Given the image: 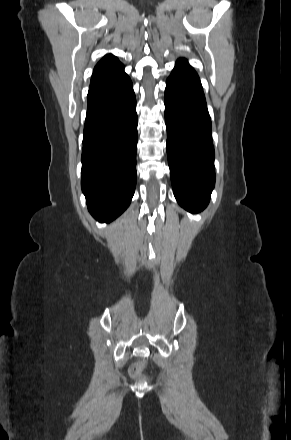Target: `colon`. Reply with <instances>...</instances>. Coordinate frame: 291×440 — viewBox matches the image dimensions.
<instances>
[{"mask_svg": "<svg viewBox=\"0 0 291 440\" xmlns=\"http://www.w3.org/2000/svg\"><path fill=\"white\" fill-rule=\"evenodd\" d=\"M144 364L142 362H135L130 366V373L137 379H144L143 374Z\"/></svg>", "mask_w": 291, "mask_h": 440, "instance_id": "colon-1", "label": "colon"}]
</instances>
